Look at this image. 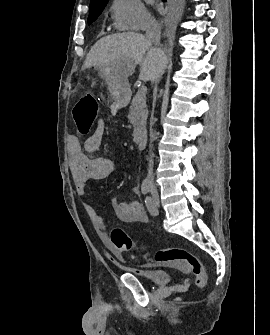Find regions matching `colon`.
<instances>
[{
    "mask_svg": "<svg viewBox=\"0 0 270 335\" xmlns=\"http://www.w3.org/2000/svg\"><path fill=\"white\" fill-rule=\"evenodd\" d=\"M98 109L97 99L91 95H85L77 103L76 110H72V117H74L79 134H87L92 129L98 115ZM111 240L120 254H130L134 248L133 240L122 229L114 228L111 231ZM130 257L135 259L133 255ZM152 259L159 264L169 263L189 271L194 278L196 288L200 289L205 286L206 275L203 264L199 257L188 249H158L152 254Z\"/></svg>",
    "mask_w": 270,
    "mask_h": 335,
    "instance_id": "1",
    "label": "colon"
}]
</instances>
